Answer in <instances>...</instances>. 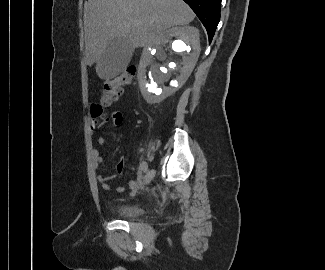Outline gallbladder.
Returning <instances> with one entry per match:
<instances>
[{
  "mask_svg": "<svg viewBox=\"0 0 325 270\" xmlns=\"http://www.w3.org/2000/svg\"><path fill=\"white\" fill-rule=\"evenodd\" d=\"M133 47L127 38H115L106 47L98 62V72L104 78L119 75L128 65L133 55Z\"/></svg>",
  "mask_w": 325,
  "mask_h": 270,
  "instance_id": "gallbladder-1",
  "label": "gallbladder"
}]
</instances>
